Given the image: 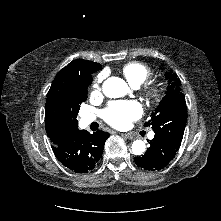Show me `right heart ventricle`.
I'll return each instance as SVG.
<instances>
[{"label": "right heart ventricle", "instance_id": "1", "mask_svg": "<svg viewBox=\"0 0 221 221\" xmlns=\"http://www.w3.org/2000/svg\"><path fill=\"white\" fill-rule=\"evenodd\" d=\"M122 72L127 81L135 87L144 83L152 74L148 66L139 62L126 64Z\"/></svg>", "mask_w": 221, "mask_h": 221}]
</instances>
